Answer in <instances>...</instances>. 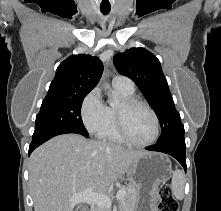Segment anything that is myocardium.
<instances>
[{"mask_svg":"<svg viewBox=\"0 0 221 211\" xmlns=\"http://www.w3.org/2000/svg\"><path fill=\"white\" fill-rule=\"evenodd\" d=\"M136 106H142L144 108H146L150 114L153 117L154 120V136L151 140L147 141V142H137L135 141L129 134L128 129H127V125H126V119H125V111L136 107ZM116 119H117V126H118V131L120 136L123 138V140L131 145L137 146V147H148L151 146L152 144H154L158 137H159V133H160V124H159V119L158 116L156 114V112L154 111V109L145 101H142L140 99L137 98H127L124 99L123 101V109H117L116 110Z\"/></svg>","mask_w":221,"mask_h":211,"instance_id":"obj_1","label":"myocardium"}]
</instances>
